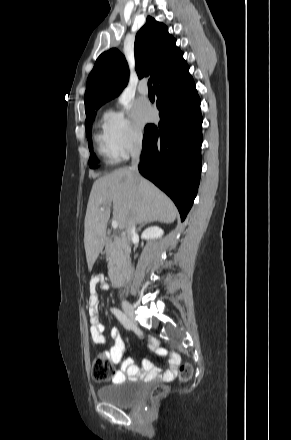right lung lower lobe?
I'll return each mask as SVG.
<instances>
[{
    "label": "right lung lower lobe",
    "mask_w": 291,
    "mask_h": 440,
    "mask_svg": "<svg viewBox=\"0 0 291 440\" xmlns=\"http://www.w3.org/2000/svg\"><path fill=\"white\" fill-rule=\"evenodd\" d=\"M154 89L160 122L145 127L139 171L174 201L183 221L200 182V98L188 65Z\"/></svg>",
    "instance_id": "1"
}]
</instances>
